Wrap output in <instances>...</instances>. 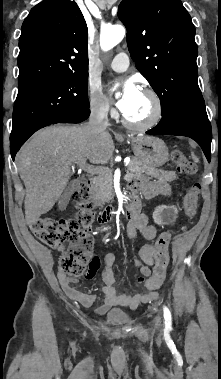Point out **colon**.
I'll return each instance as SVG.
<instances>
[{"instance_id": "5ec220e1", "label": "colon", "mask_w": 221, "mask_h": 379, "mask_svg": "<svg viewBox=\"0 0 221 379\" xmlns=\"http://www.w3.org/2000/svg\"><path fill=\"white\" fill-rule=\"evenodd\" d=\"M171 161L185 175L194 176L198 172L197 165L188 160L179 150L172 151ZM200 190V183L195 182L190 185L185 195L184 212L188 219H192L196 214ZM73 198L78 209L75 219L56 220L41 217L36 219L30 228L41 242L61 251L59 263L61 272L72 276H81L90 266L89 258L93 248L91 229L95 219V206L90 190L83 187L74 192ZM171 238L172 233L164 231L156 239L153 273L148 279L141 280L150 291L160 288L166 279Z\"/></svg>"}]
</instances>
